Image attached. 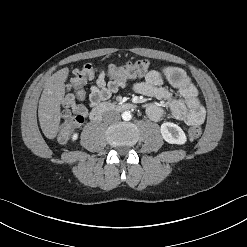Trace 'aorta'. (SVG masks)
<instances>
[{
    "label": "aorta",
    "instance_id": "762f6f07",
    "mask_svg": "<svg viewBox=\"0 0 247 247\" xmlns=\"http://www.w3.org/2000/svg\"><path fill=\"white\" fill-rule=\"evenodd\" d=\"M132 116H131V113L129 111H125L122 113V119L124 121H129L131 120Z\"/></svg>",
    "mask_w": 247,
    "mask_h": 247
}]
</instances>
